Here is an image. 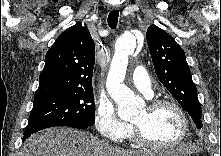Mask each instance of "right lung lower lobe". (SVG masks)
Returning <instances> with one entry per match:
<instances>
[{
  "label": "right lung lower lobe",
  "instance_id": "98d812e1",
  "mask_svg": "<svg viewBox=\"0 0 221 156\" xmlns=\"http://www.w3.org/2000/svg\"><path fill=\"white\" fill-rule=\"evenodd\" d=\"M70 127H73V128H77V129H86V128H89L90 126H80V125H74V126H70ZM31 134H25L24 137H23V141L28 138Z\"/></svg>",
  "mask_w": 221,
  "mask_h": 156
}]
</instances>
